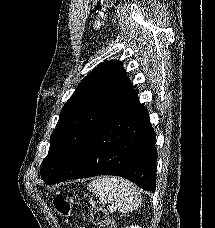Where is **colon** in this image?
Here are the masks:
<instances>
[{
  "label": "colon",
  "instance_id": "1",
  "mask_svg": "<svg viewBox=\"0 0 215 228\" xmlns=\"http://www.w3.org/2000/svg\"><path fill=\"white\" fill-rule=\"evenodd\" d=\"M54 206L62 215H68L70 213V204L63 197L58 196L54 198ZM92 222L96 228H113V221L107 209L103 207H96L91 212Z\"/></svg>",
  "mask_w": 215,
  "mask_h": 228
}]
</instances>
